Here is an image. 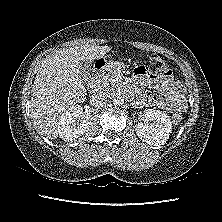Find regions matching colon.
I'll use <instances>...</instances> for the list:
<instances>
[{
  "label": "colon",
  "mask_w": 222,
  "mask_h": 222,
  "mask_svg": "<svg viewBox=\"0 0 222 222\" xmlns=\"http://www.w3.org/2000/svg\"><path fill=\"white\" fill-rule=\"evenodd\" d=\"M101 63V62H100ZM164 61L157 55H152L149 59V66L141 65L135 69V72L139 74H145L147 72H159L162 73L166 70ZM182 119L180 112H175L172 115V120L174 123H179Z\"/></svg>",
  "instance_id": "obj_1"
}]
</instances>
